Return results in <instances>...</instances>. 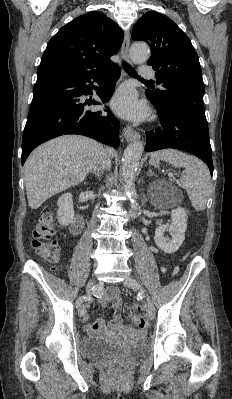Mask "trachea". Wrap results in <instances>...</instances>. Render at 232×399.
Returning a JSON list of instances; mask_svg holds the SVG:
<instances>
[{
  "instance_id": "trachea-1",
  "label": "trachea",
  "mask_w": 232,
  "mask_h": 399,
  "mask_svg": "<svg viewBox=\"0 0 232 399\" xmlns=\"http://www.w3.org/2000/svg\"><path fill=\"white\" fill-rule=\"evenodd\" d=\"M123 67H124L125 72L128 75H130V77L137 78L138 80H144L137 74L135 68L131 67V65H129V63H127L126 61L123 62ZM144 81L152 82V80H144Z\"/></svg>"
}]
</instances>
